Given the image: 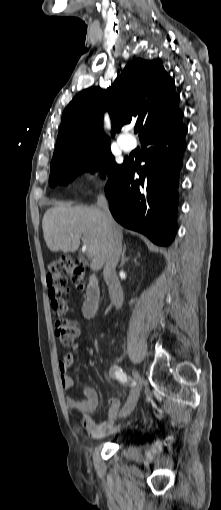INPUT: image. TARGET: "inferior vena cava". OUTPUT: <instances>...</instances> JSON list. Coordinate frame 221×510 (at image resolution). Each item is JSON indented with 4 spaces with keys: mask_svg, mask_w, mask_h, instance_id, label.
Returning <instances> with one entry per match:
<instances>
[{
    "mask_svg": "<svg viewBox=\"0 0 221 510\" xmlns=\"http://www.w3.org/2000/svg\"><path fill=\"white\" fill-rule=\"evenodd\" d=\"M97 204L104 213L105 224L108 230V245L105 252L103 276L109 286L110 296L116 308L119 309L123 304L124 296L116 273V266L122 251V238L115 227V221L110 213L105 195L100 194L98 196Z\"/></svg>",
    "mask_w": 221,
    "mask_h": 510,
    "instance_id": "obj_1",
    "label": "inferior vena cava"
}]
</instances>
